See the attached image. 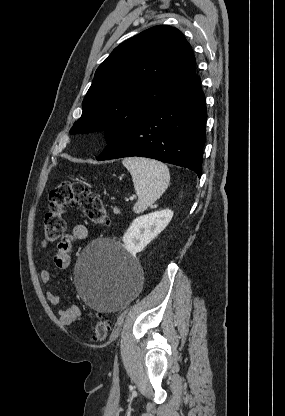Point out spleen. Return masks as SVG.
I'll use <instances>...</instances> for the list:
<instances>
[{
  "mask_svg": "<svg viewBox=\"0 0 285 416\" xmlns=\"http://www.w3.org/2000/svg\"><path fill=\"white\" fill-rule=\"evenodd\" d=\"M122 164L129 170L138 196L133 212L141 214L167 190L170 172L165 164L149 158H123Z\"/></svg>",
  "mask_w": 285,
  "mask_h": 416,
  "instance_id": "spleen-1",
  "label": "spleen"
}]
</instances>
